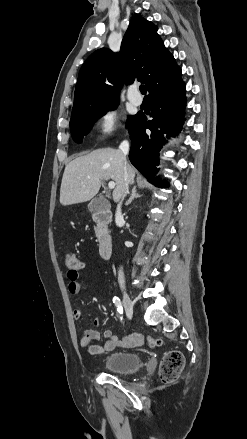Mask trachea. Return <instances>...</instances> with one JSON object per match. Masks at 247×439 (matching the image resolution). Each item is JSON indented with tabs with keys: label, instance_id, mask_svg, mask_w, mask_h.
Instances as JSON below:
<instances>
[{
	"label": "trachea",
	"instance_id": "3493384b",
	"mask_svg": "<svg viewBox=\"0 0 247 439\" xmlns=\"http://www.w3.org/2000/svg\"><path fill=\"white\" fill-rule=\"evenodd\" d=\"M139 89H140V92H141L142 94H146V86H145V85H141V86L139 87Z\"/></svg>",
	"mask_w": 247,
	"mask_h": 439
}]
</instances>
